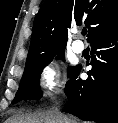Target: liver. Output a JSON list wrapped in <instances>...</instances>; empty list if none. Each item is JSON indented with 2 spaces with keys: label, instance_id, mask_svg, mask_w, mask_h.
<instances>
[{
  "label": "liver",
  "instance_id": "1",
  "mask_svg": "<svg viewBox=\"0 0 118 123\" xmlns=\"http://www.w3.org/2000/svg\"><path fill=\"white\" fill-rule=\"evenodd\" d=\"M78 123L74 118L62 115L56 110L35 112L31 114H18L6 120L5 123Z\"/></svg>",
  "mask_w": 118,
  "mask_h": 123
}]
</instances>
